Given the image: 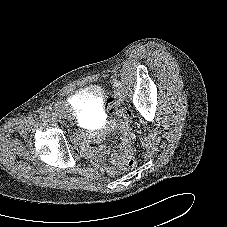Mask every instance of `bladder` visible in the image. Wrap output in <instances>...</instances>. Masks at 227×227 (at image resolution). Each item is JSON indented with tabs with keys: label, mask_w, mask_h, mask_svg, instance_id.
Segmentation results:
<instances>
[{
	"label": "bladder",
	"mask_w": 227,
	"mask_h": 227,
	"mask_svg": "<svg viewBox=\"0 0 227 227\" xmlns=\"http://www.w3.org/2000/svg\"><path fill=\"white\" fill-rule=\"evenodd\" d=\"M73 99L79 104V115L86 121L95 119L101 111L100 105L103 95L97 88L78 93Z\"/></svg>",
	"instance_id": "obj_1"
}]
</instances>
